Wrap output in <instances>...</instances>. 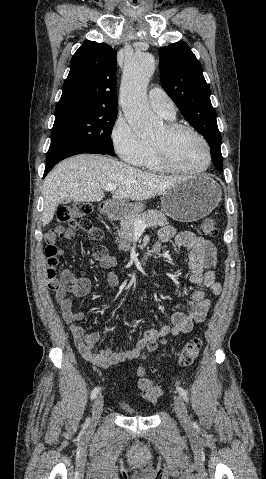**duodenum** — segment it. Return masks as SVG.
I'll use <instances>...</instances> for the list:
<instances>
[{
	"label": "duodenum",
	"mask_w": 266,
	"mask_h": 479,
	"mask_svg": "<svg viewBox=\"0 0 266 479\" xmlns=\"http://www.w3.org/2000/svg\"><path fill=\"white\" fill-rule=\"evenodd\" d=\"M115 203L114 202H107L105 203L103 206H102V212L106 215V216H113L114 213H115ZM157 250V247H153L151 250L147 251L144 253L143 255V260L144 261H147V259L153 254V252H155Z\"/></svg>",
	"instance_id": "obj_1"
}]
</instances>
